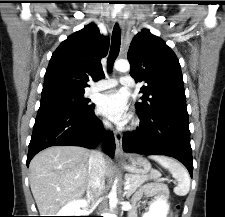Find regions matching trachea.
<instances>
[{
    "label": "trachea",
    "mask_w": 225,
    "mask_h": 217,
    "mask_svg": "<svg viewBox=\"0 0 225 217\" xmlns=\"http://www.w3.org/2000/svg\"><path fill=\"white\" fill-rule=\"evenodd\" d=\"M120 41H121L120 29H119V25L116 24L114 26L113 33H112L110 54H109V57H108V60H107V68H108L109 72H111L112 67H113V63H114L116 57L119 54Z\"/></svg>",
    "instance_id": "3493384b"
}]
</instances>
